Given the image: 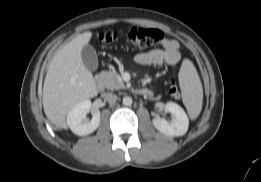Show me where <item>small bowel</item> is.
Returning a JSON list of instances; mask_svg holds the SVG:
<instances>
[{
    "mask_svg": "<svg viewBox=\"0 0 261 182\" xmlns=\"http://www.w3.org/2000/svg\"><path fill=\"white\" fill-rule=\"evenodd\" d=\"M135 62L139 65L154 66L166 64L176 71L181 62L180 45L173 39L165 40L158 48L138 53Z\"/></svg>",
    "mask_w": 261,
    "mask_h": 182,
    "instance_id": "c3829d8e",
    "label": "small bowel"
}]
</instances>
